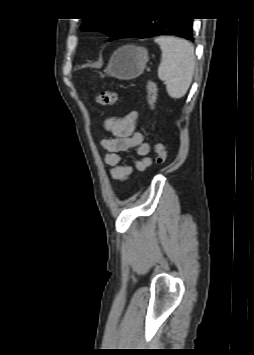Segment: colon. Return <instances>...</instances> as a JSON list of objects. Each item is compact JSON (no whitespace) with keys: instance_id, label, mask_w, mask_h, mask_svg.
<instances>
[{"instance_id":"5ec220e1","label":"colon","mask_w":254,"mask_h":355,"mask_svg":"<svg viewBox=\"0 0 254 355\" xmlns=\"http://www.w3.org/2000/svg\"><path fill=\"white\" fill-rule=\"evenodd\" d=\"M146 88L148 109L149 111H152L157 98V87L153 82L148 81L146 83ZM117 101V93L110 90L102 91L95 97V102L102 106H113L117 103ZM154 153L158 164H163L167 160L168 155L163 144L156 143L154 145Z\"/></svg>"}]
</instances>
